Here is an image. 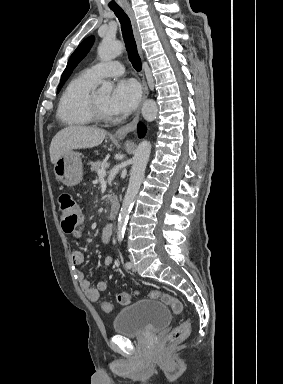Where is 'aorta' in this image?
I'll return each mask as SVG.
<instances>
[{"label": "aorta", "mask_w": 283, "mask_h": 384, "mask_svg": "<svg viewBox=\"0 0 283 384\" xmlns=\"http://www.w3.org/2000/svg\"><path fill=\"white\" fill-rule=\"evenodd\" d=\"M123 45L120 41L105 38L98 47V55L102 61H109L121 54ZM111 82H104L100 91L102 93H110L112 90ZM158 113V107L154 100L148 99L142 106V115L148 122L154 121ZM151 153V143L143 140L136 148L133 157V165L130 171V179L125 197L122 203L120 214L118 217V236H123L128 222L130 211L133 207L136 195L143 181L144 172Z\"/></svg>", "instance_id": "obj_1"}]
</instances>
